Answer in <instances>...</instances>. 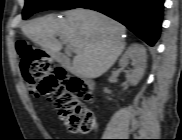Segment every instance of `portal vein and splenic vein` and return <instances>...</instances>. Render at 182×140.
Listing matches in <instances>:
<instances>
[{"mask_svg":"<svg viewBox=\"0 0 182 140\" xmlns=\"http://www.w3.org/2000/svg\"><path fill=\"white\" fill-rule=\"evenodd\" d=\"M68 47H69V49L72 50L73 52H77V50H76V48H75L74 46L69 45Z\"/></svg>","mask_w":182,"mask_h":140,"instance_id":"portal-vein-and-splenic-vein-1","label":"portal vein and splenic vein"}]
</instances>
